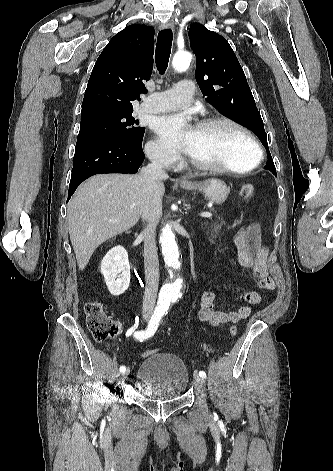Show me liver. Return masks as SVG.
<instances>
[{"instance_id": "6515ba94", "label": "liver", "mask_w": 333, "mask_h": 471, "mask_svg": "<svg viewBox=\"0 0 333 471\" xmlns=\"http://www.w3.org/2000/svg\"><path fill=\"white\" fill-rule=\"evenodd\" d=\"M164 179L156 178L149 188L142 173L98 174L77 189L68 205V229L80 270L100 244L137 224L149 194L161 200Z\"/></svg>"}]
</instances>
